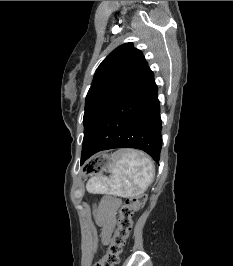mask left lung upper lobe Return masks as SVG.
Segmentation results:
<instances>
[{
	"instance_id": "5c2ea615",
	"label": "left lung upper lobe",
	"mask_w": 233,
	"mask_h": 266,
	"mask_svg": "<svg viewBox=\"0 0 233 266\" xmlns=\"http://www.w3.org/2000/svg\"><path fill=\"white\" fill-rule=\"evenodd\" d=\"M146 65L142 52L134 48L132 43L117 47L102 61L86 96L83 145L110 105Z\"/></svg>"
}]
</instances>
